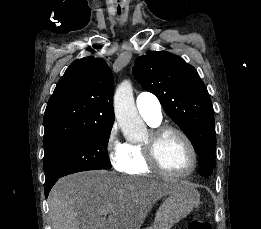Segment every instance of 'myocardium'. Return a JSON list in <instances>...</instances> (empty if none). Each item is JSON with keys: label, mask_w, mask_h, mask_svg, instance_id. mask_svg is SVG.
Instances as JSON below:
<instances>
[{"label": "myocardium", "mask_w": 261, "mask_h": 229, "mask_svg": "<svg viewBox=\"0 0 261 229\" xmlns=\"http://www.w3.org/2000/svg\"><path fill=\"white\" fill-rule=\"evenodd\" d=\"M171 133L179 135L184 140L191 153L192 163L190 168L186 172L183 173L172 172L168 170L160 160L159 157L160 144L163 138ZM143 144L146 149L147 159L151 168L162 175L172 177V178H184L191 175L196 169L197 152L195 146L191 141V139L188 137V135L177 127L170 126V125H163V126L156 127L151 130L148 139Z\"/></svg>", "instance_id": "f54148a6"}]
</instances>
